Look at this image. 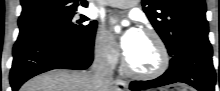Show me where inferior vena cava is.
I'll use <instances>...</instances> for the list:
<instances>
[{"label": "inferior vena cava", "mask_w": 220, "mask_h": 91, "mask_svg": "<svg viewBox=\"0 0 220 91\" xmlns=\"http://www.w3.org/2000/svg\"><path fill=\"white\" fill-rule=\"evenodd\" d=\"M108 54V48H105L101 52L97 53L89 71V76L94 86V91H105L106 88L112 84L113 66L107 60Z\"/></svg>", "instance_id": "1"}]
</instances>
